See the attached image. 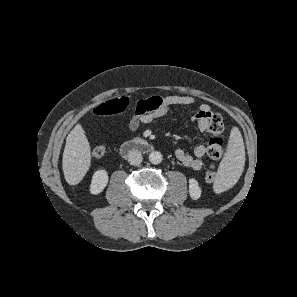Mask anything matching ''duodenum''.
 <instances>
[{
  "instance_id": "1",
  "label": "duodenum",
  "mask_w": 297,
  "mask_h": 297,
  "mask_svg": "<svg viewBox=\"0 0 297 297\" xmlns=\"http://www.w3.org/2000/svg\"><path fill=\"white\" fill-rule=\"evenodd\" d=\"M152 146L144 139H133L124 142L120 147V154L128 158L135 153H147L151 151Z\"/></svg>"
}]
</instances>
